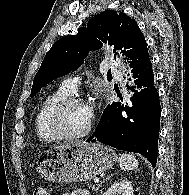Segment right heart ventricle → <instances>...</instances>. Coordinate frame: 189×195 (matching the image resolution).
I'll return each mask as SVG.
<instances>
[{
  "mask_svg": "<svg viewBox=\"0 0 189 195\" xmlns=\"http://www.w3.org/2000/svg\"><path fill=\"white\" fill-rule=\"evenodd\" d=\"M71 93L63 89L58 88L56 91L48 95L35 116V132L37 137L44 142H52L57 139L49 126V117L52 110L64 99L70 96Z\"/></svg>",
  "mask_w": 189,
  "mask_h": 195,
  "instance_id": "1",
  "label": "right heart ventricle"
}]
</instances>
